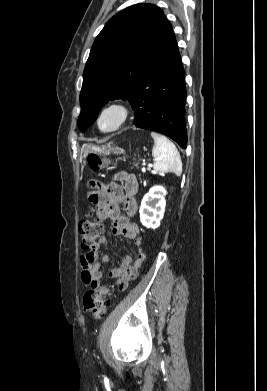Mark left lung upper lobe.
<instances>
[{"instance_id":"5c2ea615","label":"left lung upper lobe","mask_w":267,"mask_h":391,"mask_svg":"<svg viewBox=\"0 0 267 391\" xmlns=\"http://www.w3.org/2000/svg\"><path fill=\"white\" fill-rule=\"evenodd\" d=\"M175 39L163 11L136 4L114 15L96 37L83 72L79 129L110 100L128 99L156 57Z\"/></svg>"}]
</instances>
